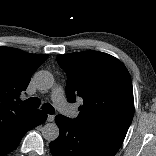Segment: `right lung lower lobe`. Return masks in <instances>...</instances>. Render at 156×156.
Wrapping results in <instances>:
<instances>
[{"instance_id":"98d812e1","label":"right lung lower lobe","mask_w":156,"mask_h":156,"mask_svg":"<svg viewBox=\"0 0 156 156\" xmlns=\"http://www.w3.org/2000/svg\"><path fill=\"white\" fill-rule=\"evenodd\" d=\"M46 119V113L33 110L25 116L10 118L0 125V156L14 150L28 130L42 124Z\"/></svg>"}]
</instances>
